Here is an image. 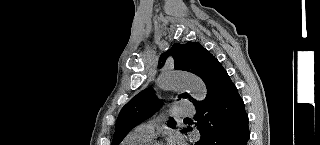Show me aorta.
Wrapping results in <instances>:
<instances>
[{
	"label": "aorta",
	"instance_id": "1",
	"mask_svg": "<svg viewBox=\"0 0 320 145\" xmlns=\"http://www.w3.org/2000/svg\"><path fill=\"white\" fill-rule=\"evenodd\" d=\"M158 87L162 90L186 89L196 100H203L207 90L204 82L197 76L175 71L163 72L157 80Z\"/></svg>",
	"mask_w": 320,
	"mask_h": 145
}]
</instances>
